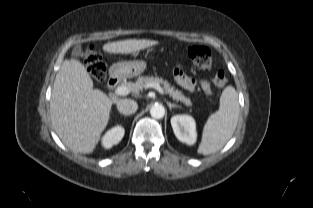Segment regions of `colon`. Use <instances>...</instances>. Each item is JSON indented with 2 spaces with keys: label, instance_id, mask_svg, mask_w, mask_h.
<instances>
[{
  "label": "colon",
  "instance_id": "1",
  "mask_svg": "<svg viewBox=\"0 0 313 208\" xmlns=\"http://www.w3.org/2000/svg\"><path fill=\"white\" fill-rule=\"evenodd\" d=\"M187 55L200 69L209 70L212 66V53L206 46H191L187 51ZM83 56L92 77L97 82H102L106 75V67L101 55L93 47H89L85 50ZM213 81L216 86L223 87L228 80L223 71H217Z\"/></svg>",
  "mask_w": 313,
  "mask_h": 208
}]
</instances>
